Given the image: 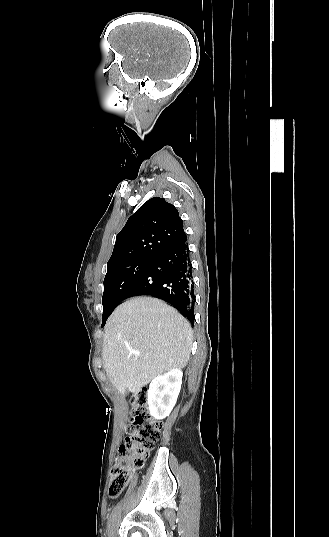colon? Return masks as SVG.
I'll use <instances>...</instances> for the list:
<instances>
[{
  "label": "colon",
  "mask_w": 329,
  "mask_h": 537,
  "mask_svg": "<svg viewBox=\"0 0 329 537\" xmlns=\"http://www.w3.org/2000/svg\"><path fill=\"white\" fill-rule=\"evenodd\" d=\"M131 412L125 436L119 446V457L111 471L109 495L118 497L125 488L130 474L141 466L145 455L161 437L162 422L148 413V394L145 390L130 398Z\"/></svg>",
  "instance_id": "colon-1"
}]
</instances>
